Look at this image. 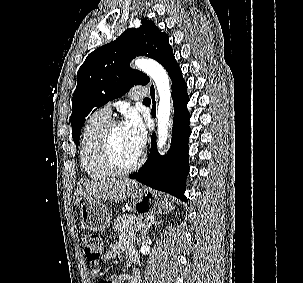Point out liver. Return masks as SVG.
Wrapping results in <instances>:
<instances>
[{"label":"liver","instance_id":"6515ba94","mask_svg":"<svg viewBox=\"0 0 303 283\" xmlns=\"http://www.w3.org/2000/svg\"><path fill=\"white\" fill-rule=\"evenodd\" d=\"M138 184L128 178L108 181L81 180L75 193V204L81 200H98L121 203L132 195Z\"/></svg>","mask_w":303,"mask_h":283}]
</instances>
